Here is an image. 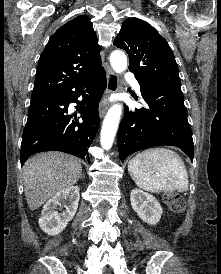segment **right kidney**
Returning <instances> with one entry per match:
<instances>
[{
	"label": "right kidney",
	"mask_w": 221,
	"mask_h": 274,
	"mask_svg": "<svg viewBox=\"0 0 221 274\" xmlns=\"http://www.w3.org/2000/svg\"><path fill=\"white\" fill-rule=\"evenodd\" d=\"M80 199L79 187L70 186L58 192L49 199L43 207L42 215L39 218L40 228L48 235H56L63 231L68 222L76 214ZM68 201L63 212H58L62 202Z\"/></svg>",
	"instance_id": "1"
}]
</instances>
